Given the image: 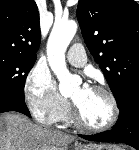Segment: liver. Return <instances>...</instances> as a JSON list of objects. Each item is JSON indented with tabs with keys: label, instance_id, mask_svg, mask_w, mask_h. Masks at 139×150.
<instances>
[{
	"label": "liver",
	"instance_id": "6515ba94",
	"mask_svg": "<svg viewBox=\"0 0 139 150\" xmlns=\"http://www.w3.org/2000/svg\"><path fill=\"white\" fill-rule=\"evenodd\" d=\"M74 137L44 129L17 113L0 115V150H65Z\"/></svg>",
	"mask_w": 139,
	"mask_h": 150
}]
</instances>
